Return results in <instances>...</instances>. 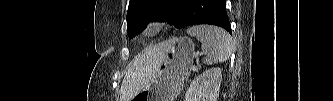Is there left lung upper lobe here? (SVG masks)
I'll return each instance as SVG.
<instances>
[{
  "instance_id": "1",
  "label": "left lung upper lobe",
  "mask_w": 333,
  "mask_h": 101,
  "mask_svg": "<svg viewBox=\"0 0 333 101\" xmlns=\"http://www.w3.org/2000/svg\"><path fill=\"white\" fill-rule=\"evenodd\" d=\"M183 10L182 0H130L126 17L128 36L140 33L153 20H168L176 28L182 22Z\"/></svg>"
}]
</instances>
